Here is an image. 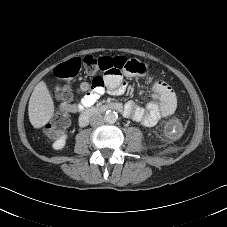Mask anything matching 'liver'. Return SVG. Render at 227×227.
Wrapping results in <instances>:
<instances>
[{
  "mask_svg": "<svg viewBox=\"0 0 227 227\" xmlns=\"http://www.w3.org/2000/svg\"><path fill=\"white\" fill-rule=\"evenodd\" d=\"M54 102L44 81L34 88L28 105L30 123L34 128L45 126L54 114Z\"/></svg>",
  "mask_w": 227,
  "mask_h": 227,
  "instance_id": "obj_1",
  "label": "liver"
}]
</instances>
